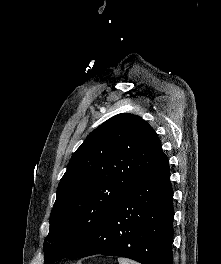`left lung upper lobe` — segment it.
<instances>
[{
	"label": "left lung upper lobe",
	"mask_w": 221,
	"mask_h": 264,
	"mask_svg": "<svg viewBox=\"0 0 221 264\" xmlns=\"http://www.w3.org/2000/svg\"><path fill=\"white\" fill-rule=\"evenodd\" d=\"M164 155L154 129L118 114L92 131L60 180L44 240L45 264L67 257Z\"/></svg>",
	"instance_id": "1"
}]
</instances>
